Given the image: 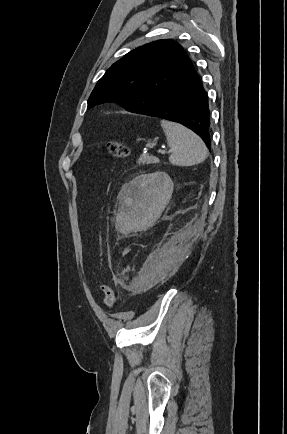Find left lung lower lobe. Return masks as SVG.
<instances>
[{
  "label": "left lung lower lobe",
  "mask_w": 287,
  "mask_h": 434,
  "mask_svg": "<svg viewBox=\"0 0 287 434\" xmlns=\"http://www.w3.org/2000/svg\"><path fill=\"white\" fill-rule=\"evenodd\" d=\"M138 113L178 122L198 134L210 148L208 95L194 68L155 105Z\"/></svg>",
  "instance_id": "0a47b994"
}]
</instances>
